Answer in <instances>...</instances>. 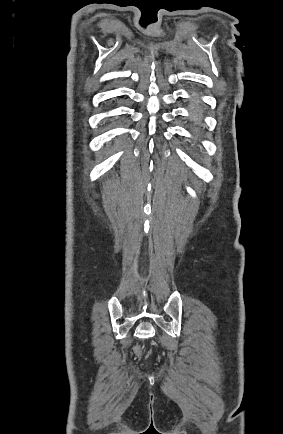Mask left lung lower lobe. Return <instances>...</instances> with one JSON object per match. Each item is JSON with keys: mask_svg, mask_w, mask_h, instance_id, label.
Returning a JSON list of instances; mask_svg holds the SVG:
<instances>
[{"mask_svg": "<svg viewBox=\"0 0 283 434\" xmlns=\"http://www.w3.org/2000/svg\"><path fill=\"white\" fill-rule=\"evenodd\" d=\"M194 110H197V109H194ZM193 123L196 124V125H198L199 124V119L197 117H195L193 119Z\"/></svg>", "mask_w": 283, "mask_h": 434, "instance_id": "0a47b994", "label": "left lung lower lobe"}]
</instances>
